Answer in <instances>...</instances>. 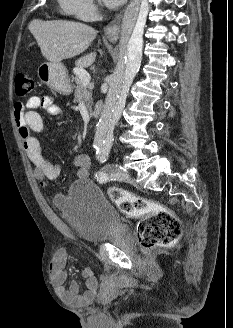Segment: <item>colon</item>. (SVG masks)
I'll use <instances>...</instances> for the list:
<instances>
[{
  "label": "colon",
  "instance_id": "5ec220e1",
  "mask_svg": "<svg viewBox=\"0 0 233 328\" xmlns=\"http://www.w3.org/2000/svg\"><path fill=\"white\" fill-rule=\"evenodd\" d=\"M34 84L31 75L17 73L16 95L20 98L29 96L34 90ZM109 196L123 214L141 219L137 227V238L143 248L169 246L180 237L181 224L172 211L118 188H111Z\"/></svg>",
  "mask_w": 233,
  "mask_h": 328
}]
</instances>
